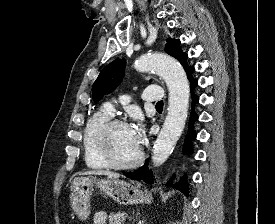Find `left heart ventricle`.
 Returning a JSON list of instances; mask_svg holds the SVG:
<instances>
[{"instance_id":"b2bd125f","label":"left heart ventricle","mask_w":275,"mask_h":224,"mask_svg":"<svg viewBox=\"0 0 275 224\" xmlns=\"http://www.w3.org/2000/svg\"><path fill=\"white\" fill-rule=\"evenodd\" d=\"M109 143L111 152L118 162H129L138 154L139 145L128 126H115L110 131Z\"/></svg>"}]
</instances>
